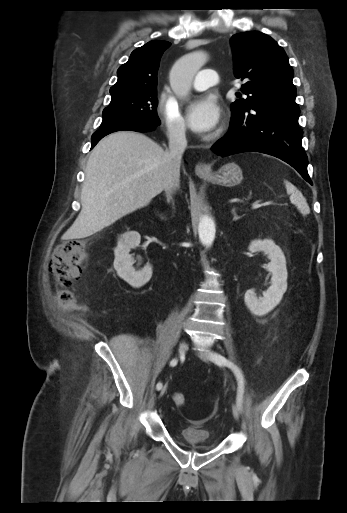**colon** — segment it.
Segmentation results:
<instances>
[{
    "label": "colon",
    "mask_w": 347,
    "mask_h": 513,
    "mask_svg": "<svg viewBox=\"0 0 347 513\" xmlns=\"http://www.w3.org/2000/svg\"><path fill=\"white\" fill-rule=\"evenodd\" d=\"M87 259L88 253L80 240L65 242L55 250L50 268L56 280L57 296L63 306L74 304L75 298L70 287L81 276ZM172 400L179 408L186 405V397L180 391L173 392Z\"/></svg>",
    "instance_id": "obj_1"
}]
</instances>
